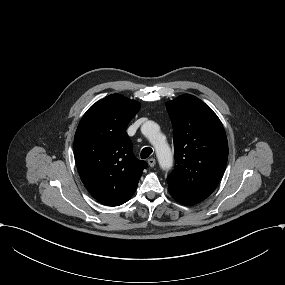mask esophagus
<instances>
[{"mask_svg": "<svg viewBox=\"0 0 285 285\" xmlns=\"http://www.w3.org/2000/svg\"><path fill=\"white\" fill-rule=\"evenodd\" d=\"M148 164L150 167H154V165L156 164V160L154 158H150L148 159Z\"/></svg>", "mask_w": 285, "mask_h": 285, "instance_id": "34e87169", "label": "esophagus"}]
</instances>
